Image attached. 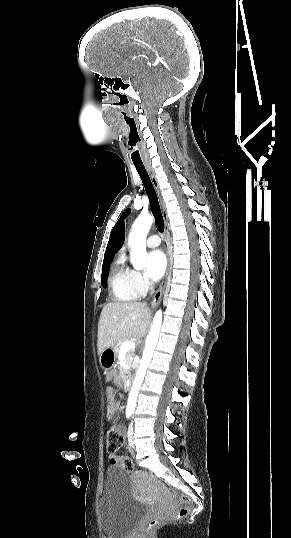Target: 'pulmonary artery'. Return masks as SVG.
<instances>
[{"label": "pulmonary artery", "instance_id": "e3ab8cb5", "mask_svg": "<svg viewBox=\"0 0 291 538\" xmlns=\"http://www.w3.org/2000/svg\"><path fill=\"white\" fill-rule=\"evenodd\" d=\"M161 243V239L159 236L157 235H151L148 237L147 241H146V245L149 247V248H155V247H158Z\"/></svg>", "mask_w": 291, "mask_h": 538}]
</instances>
